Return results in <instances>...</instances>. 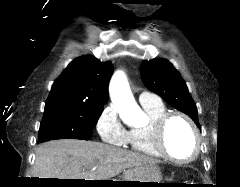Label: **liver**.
<instances>
[{"mask_svg": "<svg viewBox=\"0 0 240 187\" xmlns=\"http://www.w3.org/2000/svg\"><path fill=\"white\" fill-rule=\"evenodd\" d=\"M153 158L100 142L60 139L45 142L36 150L33 178L109 180L147 164Z\"/></svg>", "mask_w": 240, "mask_h": 187, "instance_id": "liver-1", "label": "liver"}]
</instances>
